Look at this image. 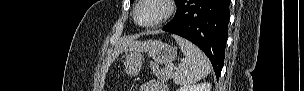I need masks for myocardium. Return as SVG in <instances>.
Masks as SVG:
<instances>
[{
	"label": "myocardium",
	"mask_w": 304,
	"mask_h": 91,
	"mask_svg": "<svg viewBox=\"0 0 304 91\" xmlns=\"http://www.w3.org/2000/svg\"><path fill=\"white\" fill-rule=\"evenodd\" d=\"M147 0H139L137 1L136 7L134 9L133 12V18L135 23L143 28H153V27H157L161 24H163L164 22H166L167 20H169L173 14L175 13V1L174 0H157L163 7H164V11L163 14L154 22L151 23H147V24H142L139 22L138 20V10L140 8V6Z\"/></svg>",
	"instance_id": "1"
}]
</instances>
